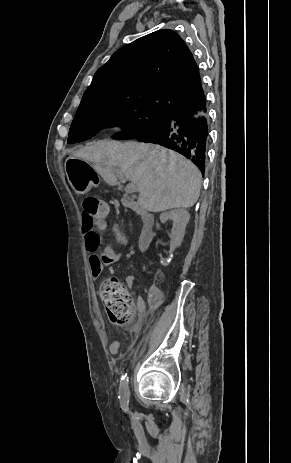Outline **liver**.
Listing matches in <instances>:
<instances>
[{"instance_id":"6515ba94","label":"liver","mask_w":291,"mask_h":463,"mask_svg":"<svg viewBox=\"0 0 291 463\" xmlns=\"http://www.w3.org/2000/svg\"><path fill=\"white\" fill-rule=\"evenodd\" d=\"M70 158L91 162L110 186L117 184L115 170H120L137 186L138 205L145 211L190 208L199 198L198 168L159 145L101 140L74 151Z\"/></svg>"}]
</instances>
